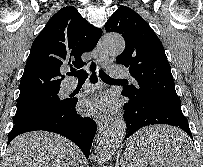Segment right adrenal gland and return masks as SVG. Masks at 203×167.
Here are the masks:
<instances>
[{"label":"right adrenal gland","instance_id":"right-adrenal-gland-1","mask_svg":"<svg viewBox=\"0 0 203 167\" xmlns=\"http://www.w3.org/2000/svg\"><path fill=\"white\" fill-rule=\"evenodd\" d=\"M80 167H83V163L81 162V165H80Z\"/></svg>","mask_w":203,"mask_h":167}]
</instances>
